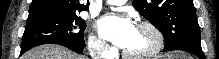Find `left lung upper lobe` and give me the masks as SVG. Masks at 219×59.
<instances>
[{
	"instance_id": "left-lung-upper-lobe-1",
	"label": "left lung upper lobe",
	"mask_w": 219,
	"mask_h": 59,
	"mask_svg": "<svg viewBox=\"0 0 219 59\" xmlns=\"http://www.w3.org/2000/svg\"><path fill=\"white\" fill-rule=\"evenodd\" d=\"M133 6L160 30L164 48L187 38H200L193 0H134Z\"/></svg>"
}]
</instances>
